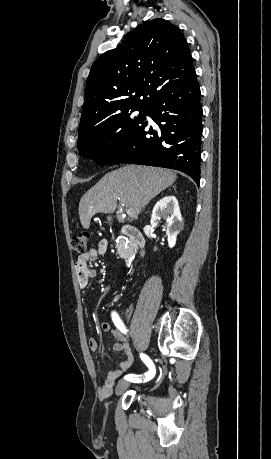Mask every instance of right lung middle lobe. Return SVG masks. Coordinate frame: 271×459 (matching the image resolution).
Listing matches in <instances>:
<instances>
[{
    "mask_svg": "<svg viewBox=\"0 0 271 459\" xmlns=\"http://www.w3.org/2000/svg\"><path fill=\"white\" fill-rule=\"evenodd\" d=\"M147 107L142 105L119 114L91 118L81 122L78 131L80 154L85 158L93 159L100 165L109 163L114 154L143 123ZM135 110L139 111L138 117L132 115ZM116 131L118 132L115 133ZM113 134L115 137H111ZM112 139H115L118 144L117 151L111 150L108 145Z\"/></svg>",
    "mask_w": 271,
    "mask_h": 459,
    "instance_id": "1",
    "label": "right lung middle lobe"
}]
</instances>
